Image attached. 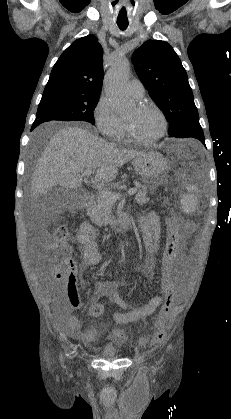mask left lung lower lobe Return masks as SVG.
Listing matches in <instances>:
<instances>
[{"instance_id": "left-lung-lower-lobe-1", "label": "left lung lower lobe", "mask_w": 231, "mask_h": 419, "mask_svg": "<svg viewBox=\"0 0 231 419\" xmlns=\"http://www.w3.org/2000/svg\"><path fill=\"white\" fill-rule=\"evenodd\" d=\"M170 137H177V138H187L192 137L200 140L205 145L204 133L202 128L200 129H190L180 134H176Z\"/></svg>"}]
</instances>
